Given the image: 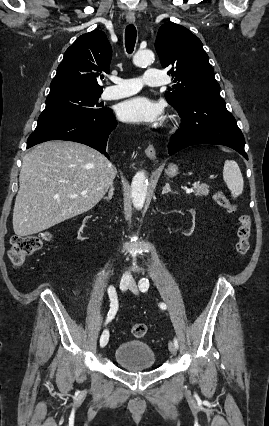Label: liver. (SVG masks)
Here are the masks:
<instances>
[{
  "instance_id": "obj_1",
  "label": "liver",
  "mask_w": 269,
  "mask_h": 426,
  "mask_svg": "<svg viewBox=\"0 0 269 426\" xmlns=\"http://www.w3.org/2000/svg\"><path fill=\"white\" fill-rule=\"evenodd\" d=\"M116 174L111 162L87 145L58 140L37 145L23 157L13 210L15 234H36L89 211Z\"/></svg>"
}]
</instances>
